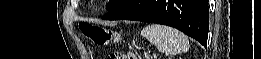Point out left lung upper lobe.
Wrapping results in <instances>:
<instances>
[{
    "mask_svg": "<svg viewBox=\"0 0 261 59\" xmlns=\"http://www.w3.org/2000/svg\"><path fill=\"white\" fill-rule=\"evenodd\" d=\"M123 1L124 0H110V2L108 3V10L113 9L114 7H116L117 5H119Z\"/></svg>",
    "mask_w": 261,
    "mask_h": 59,
    "instance_id": "1",
    "label": "left lung upper lobe"
}]
</instances>
